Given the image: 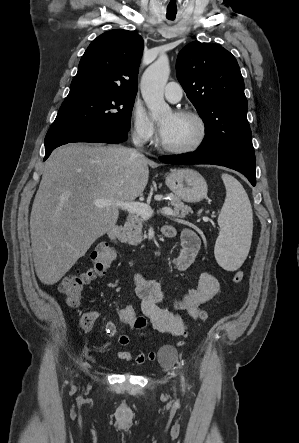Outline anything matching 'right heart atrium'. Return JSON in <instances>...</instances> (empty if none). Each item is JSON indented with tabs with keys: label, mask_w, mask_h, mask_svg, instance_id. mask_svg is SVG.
<instances>
[{
	"label": "right heart atrium",
	"mask_w": 299,
	"mask_h": 443,
	"mask_svg": "<svg viewBox=\"0 0 299 443\" xmlns=\"http://www.w3.org/2000/svg\"><path fill=\"white\" fill-rule=\"evenodd\" d=\"M131 135L139 145L150 144L155 138V127L141 104L135 102L130 111Z\"/></svg>",
	"instance_id": "d8ad5b80"
}]
</instances>
